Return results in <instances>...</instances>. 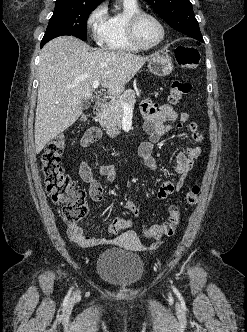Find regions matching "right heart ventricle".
Here are the masks:
<instances>
[{
	"label": "right heart ventricle",
	"instance_id": "obj_1",
	"mask_svg": "<svg viewBox=\"0 0 247 332\" xmlns=\"http://www.w3.org/2000/svg\"><path fill=\"white\" fill-rule=\"evenodd\" d=\"M141 11L137 1L122 0V9L108 15L102 45L109 50L135 52L138 51L128 39L127 22L131 15Z\"/></svg>",
	"mask_w": 247,
	"mask_h": 332
}]
</instances>
